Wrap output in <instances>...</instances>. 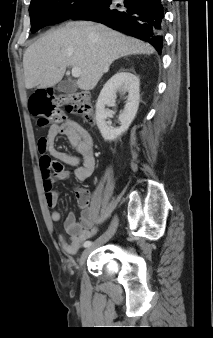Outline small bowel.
Instances as JSON below:
<instances>
[{"mask_svg":"<svg viewBox=\"0 0 213 338\" xmlns=\"http://www.w3.org/2000/svg\"><path fill=\"white\" fill-rule=\"evenodd\" d=\"M59 135L65 136L76 149L75 155L61 151L54 146V141ZM37 147L41 153L40 171L45 203L51 210V221L58 223L61 219V215L57 211L60 193L55 188L54 182L71 178V173L64 169V164L76 166L74 176L78 181H85L91 176L95 169L94 141L80 124L67 119L62 124L51 125L47 134L38 138ZM81 162L82 165H80ZM75 195L76 201L82 209L81 216L79 220H76L73 215H69L65 220V230L68 237L64 234L58 235L61 248L68 255H75L81 245L97 230L90 209V193L84 188H77Z\"/></svg>","mask_w":213,"mask_h":338,"instance_id":"c3829d8e","label":"small bowel"}]
</instances>
